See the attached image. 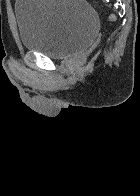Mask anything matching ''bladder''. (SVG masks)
Returning <instances> with one entry per match:
<instances>
[{
	"instance_id": "31cf9c89",
	"label": "bladder",
	"mask_w": 140,
	"mask_h": 196,
	"mask_svg": "<svg viewBox=\"0 0 140 196\" xmlns=\"http://www.w3.org/2000/svg\"><path fill=\"white\" fill-rule=\"evenodd\" d=\"M14 13L23 49L51 59L84 52L99 31L96 11L85 0H15Z\"/></svg>"
}]
</instances>
